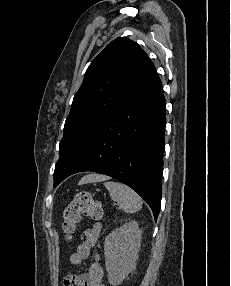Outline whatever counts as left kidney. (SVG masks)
I'll use <instances>...</instances> for the list:
<instances>
[{
  "label": "left kidney",
  "instance_id": "left-kidney-1",
  "mask_svg": "<svg viewBox=\"0 0 231 286\" xmlns=\"http://www.w3.org/2000/svg\"><path fill=\"white\" fill-rule=\"evenodd\" d=\"M142 232L136 221L125 223L105 239L104 255L108 281L117 286L136 268Z\"/></svg>",
  "mask_w": 231,
  "mask_h": 286
}]
</instances>
